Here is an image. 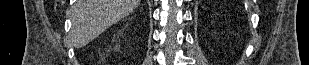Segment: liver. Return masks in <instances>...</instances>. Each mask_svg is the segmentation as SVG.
<instances>
[{
  "mask_svg": "<svg viewBox=\"0 0 309 65\" xmlns=\"http://www.w3.org/2000/svg\"><path fill=\"white\" fill-rule=\"evenodd\" d=\"M140 0H77L72 11L71 39L81 48L128 16Z\"/></svg>",
  "mask_w": 309,
  "mask_h": 65,
  "instance_id": "6515ba94",
  "label": "liver"
}]
</instances>
